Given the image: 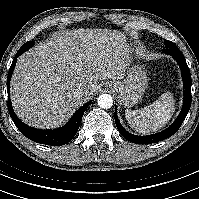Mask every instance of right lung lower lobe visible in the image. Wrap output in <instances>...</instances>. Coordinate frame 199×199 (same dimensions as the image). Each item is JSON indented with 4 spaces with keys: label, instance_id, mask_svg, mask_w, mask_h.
Segmentation results:
<instances>
[{
    "label": "right lung lower lobe",
    "instance_id": "98d812e1",
    "mask_svg": "<svg viewBox=\"0 0 199 199\" xmlns=\"http://www.w3.org/2000/svg\"><path fill=\"white\" fill-rule=\"evenodd\" d=\"M30 48V45H23L19 51L16 53L15 58L12 62V65L9 69L8 77H7V92H8V110L9 114L14 122V124L17 126L19 131L26 136L28 139L41 143L46 145H52V146H61L73 139V137L76 135L78 128L80 126L82 117L84 112L87 110L89 103H86L82 107H80L76 113L72 116V118L69 120V122L55 130H40L35 129L32 127H29L28 125L24 124L19 120V118L16 116V114L13 111L11 100H10V80L13 73V70L16 65L17 58L27 51Z\"/></svg>",
    "mask_w": 199,
    "mask_h": 199
}]
</instances>
